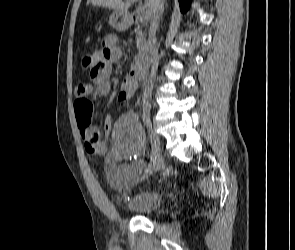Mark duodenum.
Segmentation results:
<instances>
[{
  "label": "duodenum",
  "mask_w": 295,
  "mask_h": 250,
  "mask_svg": "<svg viewBox=\"0 0 295 250\" xmlns=\"http://www.w3.org/2000/svg\"><path fill=\"white\" fill-rule=\"evenodd\" d=\"M137 19V16H134ZM148 71V59L147 55H141L136 61L134 73L137 78H144Z\"/></svg>",
  "instance_id": "duodenum-1"
}]
</instances>
